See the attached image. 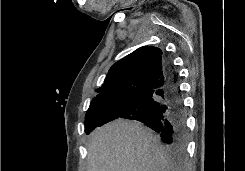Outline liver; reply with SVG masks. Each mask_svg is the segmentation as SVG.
Segmentation results:
<instances>
[{
    "instance_id": "6515ba94",
    "label": "liver",
    "mask_w": 245,
    "mask_h": 171,
    "mask_svg": "<svg viewBox=\"0 0 245 171\" xmlns=\"http://www.w3.org/2000/svg\"><path fill=\"white\" fill-rule=\"evenodd\" d=\"M87 150V171H177L158 138L136 121L96 129Z\"/></svg>"
}]
</instances>
